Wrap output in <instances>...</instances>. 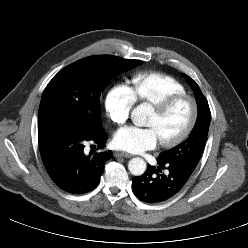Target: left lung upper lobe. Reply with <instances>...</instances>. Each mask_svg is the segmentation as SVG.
Wrapping results in <instances>:
<instances>
[{"label": "left lung upper lobe", "instance_id": "obj_1", "mask_svg": "<svg viewBox=\"0 0 248 248\" xmlns=\"http://www.w3.org/2000/svg\"><path fill=\"white\" fill-rule=\"evenodd\" d=\"M194 90L198 104V118L196 125L187 140L174 148L160 153L158 160L165 163L187 164L196 167L204 150L211 113L208 102L199 86L189 76L183 74Z\"/></svg>", "mask_w": 248, "mask_h": 248}]
</instances>
